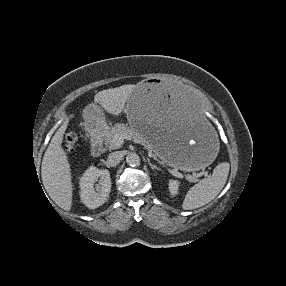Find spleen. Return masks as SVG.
<instances>
[{"label": "spleen", "instance_id": "spleen-1", "mask_svg": "<svg viewBox=\"0 0 286 286\" xmlns=\"http://www.w3.org/2000/svg\"><path fill=\"white\" fill-rule=\"evenodd\" d=\"M230 164L223 162L218 164L211 176L200 180L191 187L182 203L184 210H192L211 202L223 189L229 174Z\"/></svg>", "mask_w": 286, "mask_h": 286}]
</instances>
